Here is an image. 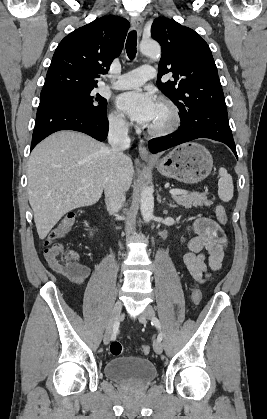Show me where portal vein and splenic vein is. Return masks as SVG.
Returning a JSON list of instances; mask_svg holds the SVG:
<instances>
[{
	"instance_id": "obj_1",
	"label": "portal vein and splenic vein",
	"mask_w": 267,
	"mask_h": 419,
	"mask_svg": "<svg viewBox=\"0 0 267 419\" xmlns=\"http://www.w3.org/2000/svg\"><path fill=\"white\" fill-rule=\"evenodd\" d=\"M169 192L172 196L183 195L187 193L185 190L181 189H171Z\"/></svg>"
}]
</instances>
